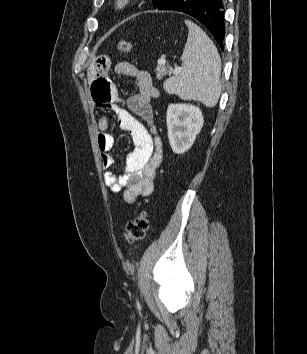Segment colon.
Wrapping results in <instances>:
<instances>
[{
    "mask_svg": "<svg viewBox=\"0 0 307 354\" xmlns=\"http://www.w3.org/2000/svg\"><path fill=\"white\" fill-rule=\"evenodd\" d=\"M118 50L121 54H129L132 51V44L129 41L118 42ZM149 228V221L145 211H141L133 220L128 222L125 229V241L128 244H135L142 241Z\"/></svg>",
    "mask_w": 307,
    "mask_h": 354,
    "instance_id": "obj_1",
    "label": "colon"
}]
</instances>
